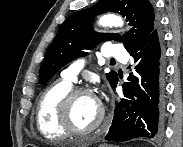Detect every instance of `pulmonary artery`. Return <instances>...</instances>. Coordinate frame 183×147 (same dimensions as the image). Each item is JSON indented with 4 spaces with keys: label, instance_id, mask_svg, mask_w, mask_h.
<instances>
[{
    "label": "pulmonary artery",
    "instance_id": "e3ab8cb5",
    "mask_svg": "<svg viewBox=\"0 0 183 147\" xmlns=\"http://www.w3.org/2000/svg\"><path fill=\"white\" fill-rule=\"evenodd\" d=\"M104 49L106 51V54H104L106 58H115L118 60H123L127 56L126 51L119 44H109L106 45ZM83 66L84 60H76L68 68L63 70L61 75L64 78V80L69 82H75L77 79V75Z\"/></svg>",
    "mask_w": 183,
    "mask_h": 147
}]
</instances>
